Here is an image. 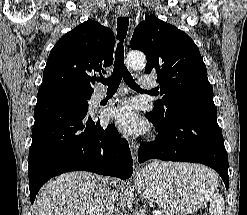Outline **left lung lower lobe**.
Segmentation results:
<instances>
[{
    "instance_id": "obj_1",
    "label": "left lung lower lobe",
    "mask_w": 247,
    "mask_h": 215,
    "mask_svg": "<svg viewBox=\"0 0 247 215\" xmlns=\"http://www.w3.org/2000/svg\"><path fill=\"white\" fill-rule=\"evenodd\" d=\"M147 117L158 135L153 142L141 143L139 163L159 159L205 164L218 172L228 189V155L216 112L183 110L166 116L153 109Z\"/></svg>"
}]
</instances>
